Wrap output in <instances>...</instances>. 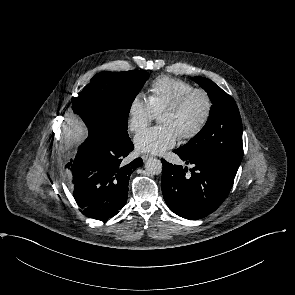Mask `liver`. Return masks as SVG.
<instances>
[{
	"label": "liver",
	"instance_id": "6515ba94",
	"mask_svg": "<svg viewBox=\"0 0 295 295\" xmlns=\"http://www.w3.org/2000/svg\"><path fill=\"white\" fill-rule=\"evenodd\" d=\"M65 148L70 149L74 144L85 138L87 131L83 123L76 117L68 116L62 125Z\"/></svg>",
	"mask_w": 295,
	"mask_h": 295
}]
</instances>
